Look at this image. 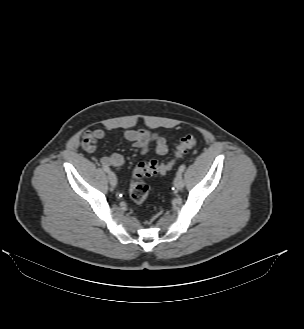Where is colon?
I'll list each match as a JSON object with an SVG mask.
<instances>
[{"mask_svg":"<svg viewBox=\"0 0 304 329\" xmlns=\"http://www.w3.org/2000/svg\"><path fill=\"white\" fill-rule=\"evenodd\" d=\"M198 139L193 135L182 137L175 146L173 156L166 162L151 160L140 162L135 167L129 185V196L137 204L144 203L149 196V186L143 181L144 178L166 175L171 172L177 162L189 149L196 146Z\"/></svg>","mask_w":304,"mask_h":329,"instance_id":"1","label":"colon"}]
</instances>
